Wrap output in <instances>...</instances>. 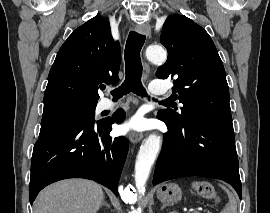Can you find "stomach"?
<instances>
[{
  "instance_id": "0dacf381",
  "label": "stomach",
  "mask_w": 270,
  "mask_h": 213,
  "mask_svg": "<svg viewBox=\"0 0 270 213\" xmlns=\"http://www.w3.org/2000/svg\"><path fill=\"white\" fill-rule=\"evenodd\" d=\"M159 200L165 203H175L181 200V188L174 183L164 184L157 191Z\"/></svg>"
}]
</instances>
